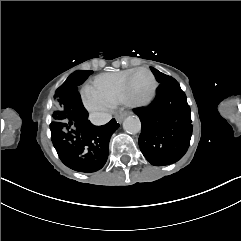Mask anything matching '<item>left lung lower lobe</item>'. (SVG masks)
<instances>
[{
    "mask_svg": "<svg viewBox=\"0 0 241 241\" xmlns=\"http://www.w3.org/2000/svg\"><path fill=\"white\" fill-rule=\"evenodd\" d=\"M135 112L142 123L139 147L145 158L155 166L181 159L189 147L192 121L179 83L175 79L160 83L153 103Z\"/></svg>",
    "mask_w": 241,
    "mask_h": 241,
    "instance_id": "1",
    "label": "left lung lower lobe"
}]
</instances>
